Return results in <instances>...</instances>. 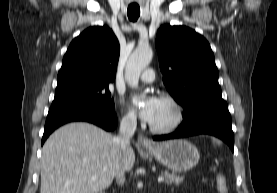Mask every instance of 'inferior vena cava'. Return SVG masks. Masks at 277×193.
I'll return each instance as SVG.
<instances>
[{"label":"inferior vena cava","mask_w":277,"mask_h":193,"mask_svg":"<svg viewBox=\"0 0 277 193\" xmlns=\"http://www.w3.org/2000/svg\"><path fill=\"white\" fill-rule=\"evenodd\" d=\"M136 127V116L128 115L122 118L120 122L119 136L115 138V141L119 145L123 155L130 146V138L134 135ZM116 181L117 184L123 185L125 182V172H121V174L116 177Z\"/></svg>","instance_id":"inferior-vena-cava-1"}]
</instances>
